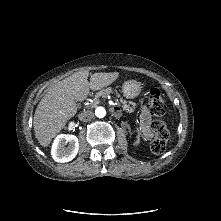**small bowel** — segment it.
Wrapping results in <instances>:
<instances>
[{
  "mask_svg": "<svg viewBox=\"0 0 221 221\" xmlns=\"http://www.w3.org/2000/svg\"><path fill=\"white\" fill-rule=\"evenodd\" d=\"M150 124L151 115L146 108H142L140 111V127L145 140H150L153 137V132L150 128Z\"/></svg>",
  "mask_w": 221,
  "mask_h": 221,
  "instance_id": "1",
  "label": "small bowel"
}]
</instances>
